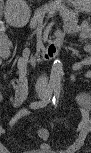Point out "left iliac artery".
I'll list each match as a JSON object with an SVG mask.
<instances>
[{"instance_id": "1", "label": "left iliac artery", "mask_w": 91, "mask_h": 153, "mask_svg": "<svg viewBox=\"0 0 91 153\" xmlns=\"http://www.w3.org/2000/svg\"><path fill=\"white\" fill-rule=\"evenodd\" d=\"M58 101H59V90H58V88H56L54 96H53V100H52L55 108L58 106Z\"/></svg>"}]
</instances>
